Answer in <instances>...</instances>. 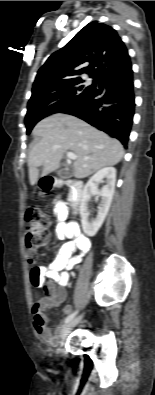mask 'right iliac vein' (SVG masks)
<instances>
[{
	"instance_id": "obj_1",
	"label": "right iliac vein",
	"mask_w": 155,
	"mask_h": 395,
	"mask_svg": "<svg viewBox=\"0 0 155 395\" xmlns=\"http://www.w3.org/2000/svg\"><path fill=\"white\" fill-rule=\"evenodd\" d=\"M83 315H80L78 317H76L75 319L71 320L70 322H68L62 329L60 337H61V345H63V341L65 340V338L67 337V335L70 333V331L73 329V327H75L82 319Z\"/></svg>"
}]
</instances>
